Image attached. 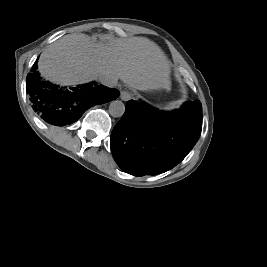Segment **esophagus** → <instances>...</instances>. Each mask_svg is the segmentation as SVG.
Here are the masks:
<instances>
[{
    "instance_id": "obj_1",
    "label": "esophagus",
    "mask_w": 267,
    "mask_h": 267,
    "mask_svg": "<svg viewBox=\"0 0 267 267\" xmlns=\"http://www.w3.org/2000/svg\"><path fill=\"white\" fill-rule=\"evenodd\" d=\"M131 97H132V93L130 91H128V90L121 91L120 98L123 101H128L131 99Z\"/></svg>"
}]
</instances>
